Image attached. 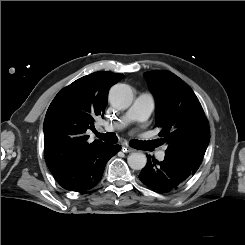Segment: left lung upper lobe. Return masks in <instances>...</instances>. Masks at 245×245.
Segmentation results:
<instances>
[{
  "instance_id": "obj_1",
  "label": "left lung upper lobe",
  "mask_w": 245,
  "mask_h": 245,
  "mask_svg": "<svg viewBox=\"0 0 245 245\" xmlns=\"http://www.w3.org/2000/svg\"><path fill=\"white\" fill-rule=\"evenodd\" d=\"M144 75L157 96L156 123L162 128L159 136L169 145L165 152L202 162L210 128L195 93L169 71L154 70Z\"/></svg>"
}]
</instances>
